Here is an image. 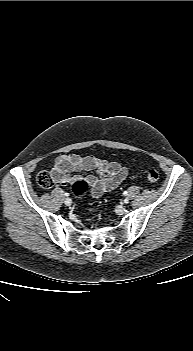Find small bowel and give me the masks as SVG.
Returning <instances> with one entry per match:
<instances>
[{
	"instance_id": "obj_1",
	"label": "small bowel",
	"mask_w": 193,
	"mask_h": 351,
	"mask_svg": "<svg viewBox=\"0 0 193 351\" xmlns=\"http://www.w3.org/2000/svg\"><path fill=\"white\" fill-rule=\"evenodd\" d=\"M77 171H94L85 180L90 184L91 194L99 197L115 189L127 176V170L118 162H110L93 155L69 154L59 156L51 169V176L58 186H67L80 179Z\"/></svg>"
}]
</instances>
